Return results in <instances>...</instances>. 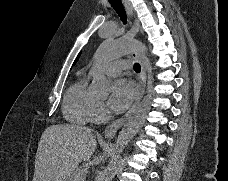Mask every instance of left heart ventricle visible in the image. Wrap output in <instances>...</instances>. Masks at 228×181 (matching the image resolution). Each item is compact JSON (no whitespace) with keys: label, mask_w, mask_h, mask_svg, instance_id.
Here are the masks:
<instances>
[{"label":"left heart ventricle","mask_w":228,"mask_h":181,"mask_svg":"<svg viewBox=\"0 0 228 181\" xmlns=\"http://www.w3.org/2000/svg\"><path fill=\"white\" fill-rule=\"evenodd\" d=\"M118 76H119V73L118 72H113L109 76H104V77L108 78L109 84H110V88H112V85L118 80Z\"/></svg>","instance_id":"1"}]
</instances>
